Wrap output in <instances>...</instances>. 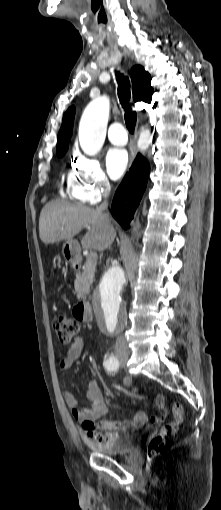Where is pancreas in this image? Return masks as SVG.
Instances as JSON below:
<instances>
[{
  "label": "pancreas",
  "mask_w": 221,
  "mask_h": 510,
  "mask_svg": "<svg viewBox=\"0 0 221 510\" xmlns=\"http://www.w3.org/2000/svg\"><path fill=\"white\" fill-rule=\"evenodd\" d=\"M96 271V262L88 264L87 262L83 266L82 273L76 274L75 279V291L79 297H85L89 293L90 285L94 281Z\"/></svg>",
  "instance_id": "cf45deb5"
}]
</instances>
